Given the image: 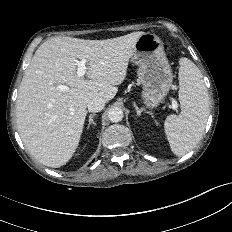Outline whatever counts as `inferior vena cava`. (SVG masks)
Masks as SVG:
<instances>
[{
	"label": "inferior vena cava",
	"instance_id": "obj_1",
	"mask_svg": "<svg viewBox=\"0 0 232 232\" xmlns=\"http://www.w3.org/2000/svg\"><path fill=\"white\" fill-rule=\"evenodd\" d=\"M105 100L101 97L91 99L87 105L89 112H99L104 109Z\"/></svg>",
	"mask_w": 232,
	"mask_h": 232
}]
</instances>
